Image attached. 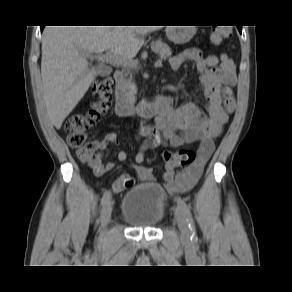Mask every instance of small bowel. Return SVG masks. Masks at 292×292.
<instances>
[{
    "label": "small bowel",
    "mask_w": 292,
    "mask_h": 292,
    "mask_svg": "<svg viewBox=\"0 0 292 292\" xmlns=\"http://www.w3.org/2000/svg\"><path fill=\"white\" fill-rule=\"evenodd\" d=\"M188 61L195 63L200 74L204 104L200 106L186 102L176 106L174 99L168 97V106L157 118L155 125L140 127L139 133L147 137V140L135 156L136 164L132 165L139 181L155 182L157 178L152 169L141 165L146 151L160 146L178 148L198 142L197 159L193 164L180 166L174 162L166 163L163 186L172 195L188 192L200 179L207 161L214 152L215 141L222 134L228 121V116L221 105V89L233 87L237 82L235 63L225 53L205 57L199 48L192 47L172 57L170 64L172 69L178 70ZM111 144H118L117 134L113 132L94 142L97 152L88 164L98 177L114 168V163H103L102 160L103 151ZM116 157L118 161L124 162L127 160V153L119 151ZM123 176L112 185L116 193L124 188Z\"/></svg>",
    "instance_id": "small-bowel-1"
}]
</instances>
